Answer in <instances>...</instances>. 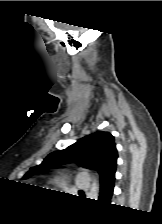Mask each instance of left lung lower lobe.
Here are the masks:
<instances>
[{
	"label": "left lung lower lobe",
	"mask_w": 162,
	"mask_h": 224,
	"mask_svg": "<svg viewBox=\"0 0 162 224\" xmlns=\"http://www.w3.org/2000/svg\"><path fill=\"white\" fill-rule=\"evenodd\" d=\"M115 181V171L112 172L103 182L100 184L99 200L103 203L110 204V200L113 194Z\"/></svg>",
	"instance_id": "0a47b994"
}]
</instances>
